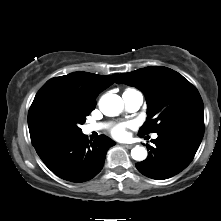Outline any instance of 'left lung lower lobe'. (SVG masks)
<instances>
[{
    "instance_id": "left-lung-lower-lobe-1",
    "label": "left lung lower lobe",
    "mask_w": 221,
    "mask_h": 221,
    "mask_svg": "<svg viewBox=\"0 0 221 221\" xmlns=\"http://www.w3.org/2000/svg\"><path fill=\"white\" fill-rule=\"evenodd\" d=\"M148 157L136 167L143 175L164 180L181 172L192 161L204 134V125L181 124L157 133Z\"/></svg>"
}]
</instances>
